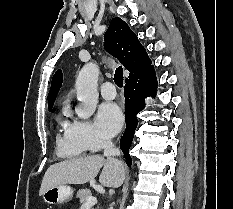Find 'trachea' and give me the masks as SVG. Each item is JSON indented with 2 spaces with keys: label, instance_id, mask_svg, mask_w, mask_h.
Masks as SVG:
<instances>
[{
  "label": "trachea",
  "instance_id": "obj_1",
  "mask_svg": "<svg viewBox=\"0 0 233 209\" xmlns=\"http://www.w3.org/2000/svg\"><path fill=\"white\" fill-rule=\"evenodd\" d=\"M114 82L118 87H123V69L119 66L114 74Z\"/></svg>",
  "mask_w": 233,
  "mask_h": 209
}]
</instances>
